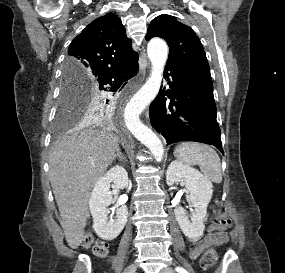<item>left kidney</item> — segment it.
I'll return each instance as SVG.
<instances>
[{
    "mask_svg": "<svg viewBox=\"0 0 285 273\" xmlns=\"http://www.w3.org/2000/svg\"><path fill=\"white\" fill-rule=\"evenodd\" d=\"M166 182L168 186L181 183L187 188L190 194L188 201L193 207L191 220L182 207H176L174 213L183 234L192 241L199 240L205 229L204 219L212 198V183L198 170L176 160L167 169Z\"/></svg>",
    "mask_w": 285,
    "mask_h": 273,
    "instance_id": "5707ae66",
    "label": "left kidney"
}]
</instances>
